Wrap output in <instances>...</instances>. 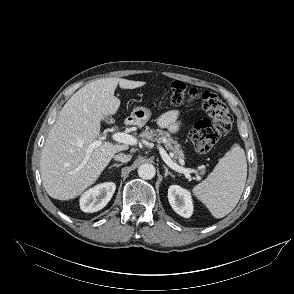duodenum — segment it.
<instances>
[{
  "mask_svg": "<svg viewBox=\"0 0 294 294\" xmlns=\"http://www.w3.org/2000/svg\"><path fill=\"white\" fill-rule=\"evenodd\" d=\"M133 123H134V119L133 118H127L124 121V125L127 126V127L131 126Z\"/></svg>",
  "mask_w": 294,
  "mask_h": 294,
  "instance_id": "410a0bca",
  "label": "duodenum"
}]
</instances>
